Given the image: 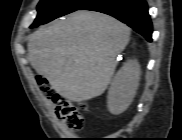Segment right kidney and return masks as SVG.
Here are the masks:
<instances>
[{"label": "right kidney", "instance_id": "obj_1", "mask_svg": "<svg viewBox=\"0 0 182 140\" xmlns=\"http://www.w3.org/2000/svg\"><path fill=\"white\" fill-rule=\"evenodd\" d=\"M140 79V65L129 61L116 73L107 96V107L111 114L123 113L133 101Z\"/></svg>", "mask_w": 182, "mask_h": 140}]
</instances>
